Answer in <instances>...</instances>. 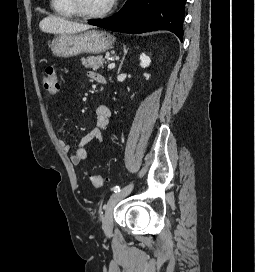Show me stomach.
Here are the masks:
<instances>
[{"label":"stomach","instance_id":"0dacf381","mask_svg":"<svg viewBox=\"0 0 255 272\" xmlns=\"http://www.w3.org/2000/svg\"><path fill=\"white\" fill-rule=\"evenodd\" d=\"M113 43L114 38L109 33L88 30L82 33L57 36L51 44V50L58 57H74L82 53H102L108 50Z\"/></svg>","mask_w":255,"mask_h":272}]
</instances>
